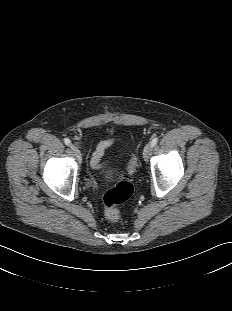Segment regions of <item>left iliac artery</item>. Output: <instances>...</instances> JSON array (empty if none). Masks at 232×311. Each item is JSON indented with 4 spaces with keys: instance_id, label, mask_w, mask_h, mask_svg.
<instances>
[{
    "instance_id": "obj_1",
    "label": "left iliac artery",
    "mask_w": 232,
    "mask_h": 311,
    "mask_svg": "<svg viewBox=\"0 0 232 311\" xmlns=\"http://www.w3.org/2000/svg\"><path fill=\"white\" fill-rule=\"evenodd\" d=\"M157 143H158V137L153 138L151 141L152 147H154Z\"/></svg>"
}]
</instances>
